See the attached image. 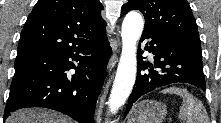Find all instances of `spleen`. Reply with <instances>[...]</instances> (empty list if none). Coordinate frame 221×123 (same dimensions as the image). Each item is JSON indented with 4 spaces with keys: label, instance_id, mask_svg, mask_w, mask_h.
Wrapping results in <instances>:
<instances>
[{
    "label": "spleen",
    "instance_id": "spleen-1",
    "mask_svg": "<svg viewBox=\"0 0 221 123\" xmlns=\"http://www.w3.org/2000/svg\"><path fill=\"white\" fill-rule=\"evenodd\" d=\"M161 93L175 94L182 98L178 117L183 123H209V116L203 103L186 89L170 87L162 90Z\"/></svg>",
    "mask_w": 221,
    "mask_h": 123
}]
</instances>
